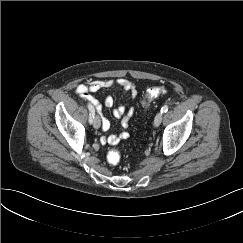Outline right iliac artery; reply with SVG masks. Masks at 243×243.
<instances>
[{"instance_id": "obj_1", "label": "right iliac artery", "mask_w": 243, "mask_h": 243, "mask_svg": "<svg viewBox=\"0 0 243 243\" xmlns=\"http://www.w3.org/2000/svg\"><path fill=\"white\" fill-rule=\"evenodd\" d=\"M88 106V109L90 111V116H89V123L91 124L93 122V118H94V107L90 104L87 105Z\"/></svg>"}]
</instances>
